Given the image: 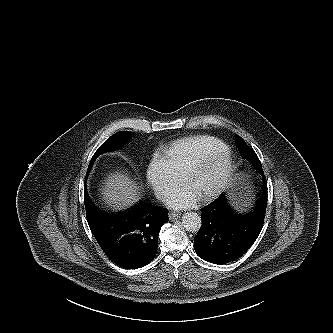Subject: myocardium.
<instances>
[{
	"label": "myocardium",
	"instance_id": "1",
	"mask_svg": "<svg viewBox=\"0 0 333 333\" xmlns=\"http://www.w3.org/2000/svg\"><path fill=\"white\" fill-rule=\"evenodd\" d=\"M218 160L223 162L222 175L214 187L199 196L201 200L207 201L217 197L230 184L235 171V160L231 149L228 146H224L202 156L195 161L183 175V182L185 185H188L196 175Z\"/></svg>",
	"mask_w": 333,
	"mask_h": 333
}]
</instances>
